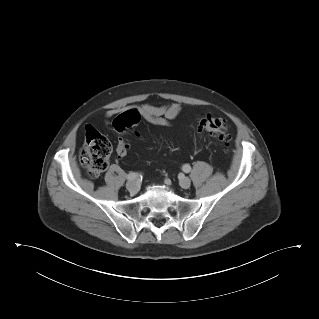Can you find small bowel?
<instances>
[{
	"instance_id": "small-bowel-1",
	"label": "small bowel",
	"mask_w": 319,
	"mask_h": 319,
	"mask_svg": "<svg viewBox=\"0 0 319 319\" xmlns=\"http://www.w3.org/2000/svg\"><path fill=\"white\" fill-rule=\"evenodd\" d=\"M139 111L143 118L150 124L160 127H168L171 121L181 112V106L177 103L165 105L143 104L139 106ZM113 112L107 113V118L111 117ZM108 128H111L109 121H106ZM128 151V144L124 138H120L117 145V154L125 156Z\"/></svg>"
}]
</instances>
